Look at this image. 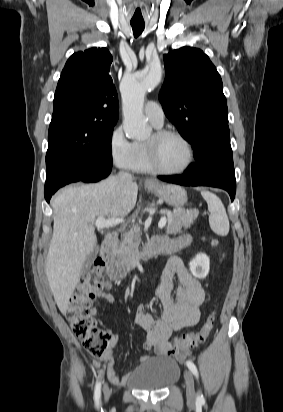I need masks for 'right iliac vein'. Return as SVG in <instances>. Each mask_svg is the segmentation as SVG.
<instances>
[{"instance_id":"right-iliac-vein-1","label":"right iliac vein","mask_w":283,"mask_h":412,"mask_svg":"<svg viewBox=\"0 0 283 412\" xmlns=\"http://www.w3.org/2000/svg\"><path fill=\"white\" fill-rule=\"evenodd\" d=\"M109 397H110V390H109L108 385L106 384L104 386V399H105V401H108Z\"/></svg>"}]
</instances>
